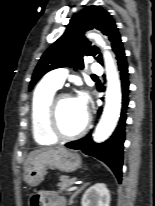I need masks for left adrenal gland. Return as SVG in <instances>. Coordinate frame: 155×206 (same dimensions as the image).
Instances as JSON below:
<instances>
[{
	"instance_id": "1",
	"label": "left adrenal gland",
	"mask_w": 155,
	"mask_h": 206,
	"mask_svg": "<svg viewBox=\"0 0 155 206\" xmlns=\"http://www.w3.org/2000/svg\"><path fill=\"white\" fill-rule=\"evenodd\" d=\"M89 183H84L79 189H77L70 197L69 205H72L74 203V198L86 187Z\"/></svg>"
}]
</instances>
